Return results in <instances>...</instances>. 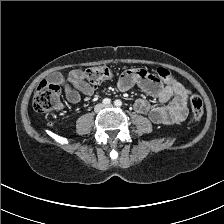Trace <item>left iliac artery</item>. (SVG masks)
Masks as SVG:
<instances>
[{"label": "left iliac artery", "mask_w": 224, "mask_h": 224, "mask_svg": "<svg viewBox=\"0 0 224 224\" xmlns=\"http://www.w3.org/2000/svg\"><path fill=\"white\" fill-rule=\"evenodd\" d=\"M114 105L117 106V107H120V106H122V101L117 99V100L114 101Z\"/></svg>", "instance_id": "obj_1"}]
</instances>
